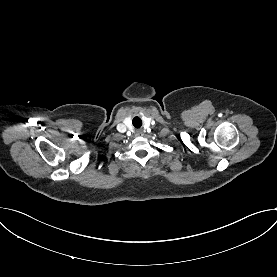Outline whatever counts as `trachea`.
<instances>
[{"mask_svg":"<svg viewBox=\"0 0 277 277\" xmlns=\"http://www.w3.org/2000/svg\"><path fill=\"white\" fill-rule=\"evenodd\" d=\"M132 123H133V126L136 128H140L142 126V120L139 117H135Z\"/></svg>","mask_w":277,"mask_h":277,"instance_id":"obj_1","label":"trachea"}]
</instances>
